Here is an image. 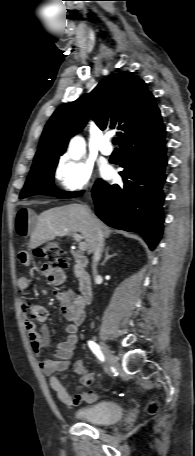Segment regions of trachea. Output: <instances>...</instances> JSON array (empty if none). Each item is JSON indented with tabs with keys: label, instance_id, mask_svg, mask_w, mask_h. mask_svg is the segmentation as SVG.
Masks as SVG:
<instances>
[{
	"label": "trachea",
	"instance_id": "1",
	"mask_svg": "<svg viewBox=\"0 0 195 456\" xmlns=\"http://www.w3.org/2000/svg\"><path fill=\"white\" fill-rule=\"evenodd\" d=\"M118 143H119V138L115 137V138L113 139V144H114V145H117Z\"/></svg>",
	"mask_w": 195,
	"mask_h": 456
}]
</instances>
